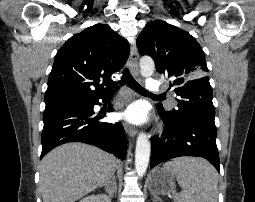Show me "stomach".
<instances>
[{"label": "stomach", "instance_id": "stomach-1", "mask_svg": "<svg viewBox=\"0 0 255 202\" xmlns=\"http://www.w3.org/2000/svg\"><path fill=\"white\" fill-rule=\"evenodd\" d=\"M149 189L154 195H170L175 193V177L164 168L154 169L148 179Z\"/></svg>", "mask_w": 255, "mask_h": 202}]
</instances>
